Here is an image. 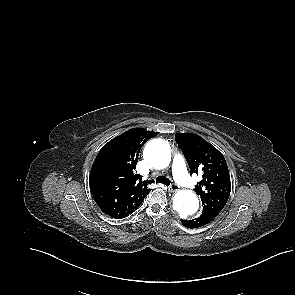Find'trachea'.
Wrapping results in <instances>:
<instances>
[{"label": "trachea", "mask_w": 295, "mask_h": 295, "mask_svg": "<svg viewBox=\"0 0 295 295\" xmlns=\"http://www.w3.org/2000/svg\"><path fill=\"white\" fill-rule=\"evenodd\" d=\"M156 183H157V184L161 183V184H164V185H166V186H169V185H170V181H169V179H168V178H165V177H163V176H158V177L156 178Z\"/></svg>", "instance_id": "1"}]
</instances>
